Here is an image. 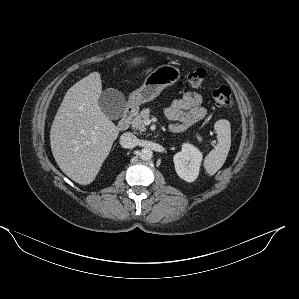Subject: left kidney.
<instances>
[{
	"instance_id": "obj_1",
	"label": "left kidney",
	"mask_w": 299,
	"mask_h": 299,
	"mask_svg": "<svg viewBox=\"0 0 299 299\" xmlns=\"http://www.w3.org/2000/svg\"><path fill=\"white\" fill-rule=\"evenodd\" d=\"M202 152L189 143L182 145V150L173 157L176 173L187 182H193L199 174Z\"/></svg>"
}]
</instances>
